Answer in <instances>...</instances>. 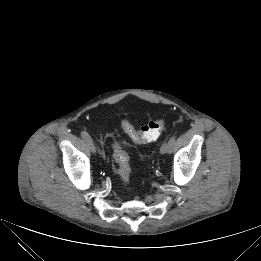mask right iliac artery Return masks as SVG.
<instances>
[{
	"label": "right iliac artery",
	"mask_w": 261,
	"mask_h": 261,
	"mask_svg": "<svg viewBox=\"0 0 261 261\" xmlns=\"http://www.w3.org/2000/svg\"><path fill=\"white\" fill-rule=\"evenodd\" d=\"M81 137H82L84 140L92 141L90 135H89L87 132H85V131H82V132H81ZM92 142H93V141H92ZM97 150H98V152H99V154L101 155L102 158L107 159V155H106V153H105L103 150H101L100 148H97Z\"/></svg>",
	"instance_id": "right-iliac-artery-1"
}]
</instances>
